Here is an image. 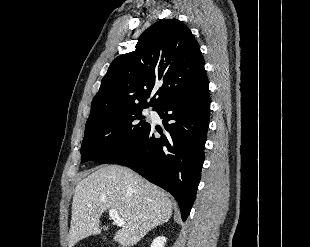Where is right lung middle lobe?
<instances>
[{"instance_id":"1","label":"right lung middle lobe","mask_w":310,"mask_h":247,"mask_svg":"<svg viewBox=\"0 0 310 247\" xmlns=\"http://www.w3.org/2000/svg\"><path fill=\"white\" fill-rule=\"evenodd\" d=\"M143 109L114 112L88 121L81 146L82 162L105 164L133 146L150 126L143 120Z\"/></svg>"}]
</instances>
